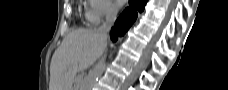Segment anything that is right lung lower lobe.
Returning a JSON list of instances; mask_svg holds the SVG:
<instances>
[{
  "instance_id": "obj_1",
  "label": "right lung lower lobe",
  "mask_w": 228,
  "mask_h": 90,
  "mask_svg": "<svg viewBox=\"0 0 228 90\" xmlns=\"http://www.w3.org/2000/svg\"><path fill=\"white\" fill-rule=\"evenodd\" d=\"M146 3L147 0H129L131 7L124 10L111 29L110 37L113 42H116L119 36H123L126 33L137 18V11L142 12Z\"/></svg>"
}]
</instances>
